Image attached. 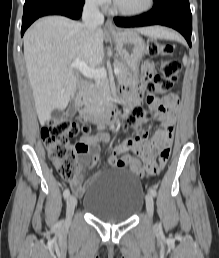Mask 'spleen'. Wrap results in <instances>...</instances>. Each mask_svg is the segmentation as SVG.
<instances>
[{
  "mask_svg": "<svg viewBox=\"0 0 219 258\" xmlns=\"http://www.w3.org/2000/svg\"><path fill=\"white\" fill-rule=\"evenodd\" d=\"M155 37L164 38V39H173V38H176V35L168 29L158 27V29L156 30V33H155ZM183 63L184 64L187 63L186 56H184V58H183Z\"/></svg>",
  "mask_w": 219,
  "mask_h": 258,
  "instance_id": "1",
  "label": "spleen"
}]
</instances>
